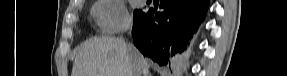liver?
Listing matches in <instances>:
<instances>
[{"label":"liver","mask_w":287,"mask_h":76,"mask_svg":"<svg viewBox=\"0 0 287 76\" xmlns=\"http://www.w3.org/2000/svg\"><path fill=\"white\" fill-rule=\"evenodd\" d=\"M134 64L142 76L150 75L148 60L135 47L131 56L125 41L94 37L79 47L71 76H133Z\"/></svg>","instance_id":"6515ba94"}]
</instances>
